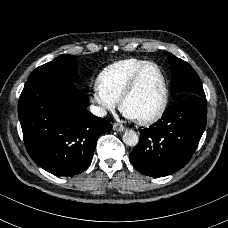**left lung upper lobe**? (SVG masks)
Segmentation results:
<instances>
[{
    "label": "left lung upper lobe",
    "mask_w": 228,
    "mask_h": 228,
    "mask_svg": "<svg viewBox=\"0 0 228 228\" xmlns=\"http://www.w3.org/2000/svg\"><path fill=\"white\" fill-rule=\"evenodd\" d=\"M171 64V92H186L187 97H205L201 80L195 70L185 61L167 53Z\"/></svg>",
    "instance_id": "5c2ea615"
}]
</instances>
